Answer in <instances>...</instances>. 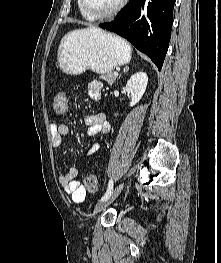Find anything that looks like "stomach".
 Returning <instances> with one entry per match:
<instances>
[{
    "label": "stomach",
    "mask_w": 221,
    "mask_h": 263,
    "mask_svg": "<svg viewBox=\"0 0 221 263\" xmlns=\"http://www.w3.org/2000/svg\"><path fill=\"white\" fill-rule=\"evenodd\" d=\"M130 59V46L120 37L100 29L67 34L57 54L60 69L70 75H80L86 70L106 74L129 63Z\"/></svg>",
    "instance_id": "0dacf381"
}]
</instances>
